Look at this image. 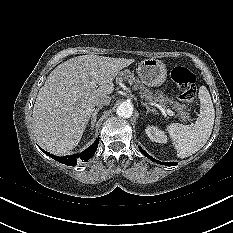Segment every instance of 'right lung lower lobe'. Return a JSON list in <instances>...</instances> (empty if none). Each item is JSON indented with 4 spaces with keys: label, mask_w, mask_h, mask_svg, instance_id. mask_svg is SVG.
Wrapping results in <instances>:
<instances>
[{
    "label": "right lung lower lobe",
    "mask_w": 233,
    "mask_h": 233,
    "mask_svg": "<svg viewBox=\"0 0 233 233\" xmlns=\"http://www.w3.org/2000/svg\"><path fill=\"white\" fill-rule=\"evenodd\" d=\"M98 143L99 140H96L90 147H88L86 150H84L83 152L79 153V154H74V155H68V156H64V157H58L55 156L53 154H50L46 151H44L43 149H41L46 155L50 156L51 158H53L54 160L68 165V166H75L77 164V159H80L84 162H87L96 152L97 147H98Z\"/></svg>",
    "instance_id": "obj_1"
}]
</instances>
